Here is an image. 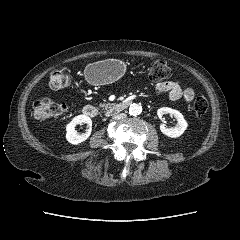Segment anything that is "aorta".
I'll list each match as a JSON object with an SVG mask.
<instances>
[{
  "label": "aorta",
  "instance_id": "762f6f07",
  "mask_svg": "<svg viewBox=\"0 0 240 240\" xmlns=\"http://www.w3.org/2000/svg\"><path fill=\"white\" fill-rule=\"evenodd\" d=\"M142 112V106L136 103H133L129 107V114L132 116H137L141 114Z\"/></svg>",
  "mask_w": 240,
  "mask_h": 240
}]
</instances>
